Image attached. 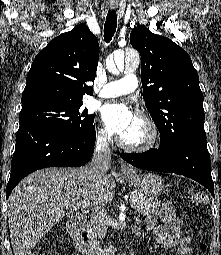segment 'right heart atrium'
Returning <instances> with one entry per match:
<instances>
[{
    "label": "right heart atrium",
    "instance_id": "d8ad5b80",
    "mask_svg": "<svg viewBox=\"0 0 221 255\" xmlns=\"http://www.w3.org/2000/svg\"><path fill=\"white\" fill-rule=\"evenodd\" d=\"M96 141H97V144L101 146L106 145L108 141V136L106 131L103 128L98 129L97 135H96Z\"/></svg>",
    "mask_w": 221,
    "mask_h": 255
}]
</instances>
